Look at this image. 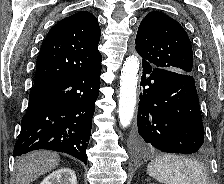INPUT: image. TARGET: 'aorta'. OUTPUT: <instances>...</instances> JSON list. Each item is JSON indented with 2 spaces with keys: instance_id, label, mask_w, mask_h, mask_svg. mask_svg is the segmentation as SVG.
<instances>
[{
  "instance_id": "aorta-1",
  "label": "aorta",
  "mask_w": 224,
  "mask_h": 184,
  "mask_svg": "<svg viewBox=\"0 0 224 184\" xmlns=\"http://www.w3.org/2000/svg\"><path fill=\"white\" fill-rule=\"evenodd\" d=\"M139 67V60L132 55L125 60L121 70L119 120L123 128L130 125L134 115Z\"/></svg>"
}]
</instances>
